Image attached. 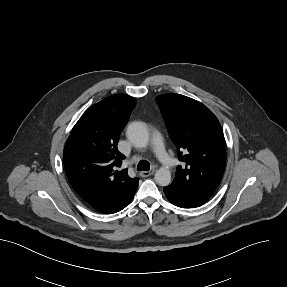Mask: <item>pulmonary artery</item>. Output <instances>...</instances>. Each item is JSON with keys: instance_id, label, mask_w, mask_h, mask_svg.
<instances>
[{"instance_id": "pulmonary-artery-1", "label": "pulmonary artery", "mask_w": 287, "mask_h": 287, "mask_svg": "<svg viewBox=\"0 0 287 287\" xmlns=\"http://www.w3.org/2000/svg\"><path fill=\"white\" fill-rule=\"evenodd\" d=\"M151 145L156 156L161 162L170 161V158L167 156L162 137L158 130H155L153 132V135L151 138Z\"/></svg>"}]
</instances>
